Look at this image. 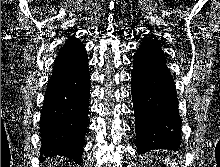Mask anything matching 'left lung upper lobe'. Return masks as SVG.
Masks as SVG:
<instances>
[{"label":"left lung upper lobe","instance_id":"1","mask_svg":"<svg viewBox=\"0 0 220 167\" xmlns=\"http://www.w3.org/2000/svg\"><path fill=\"white\" fill-rule=\"evenodd\" d=\"M140 48L160 50V44L158 42L157 36L146 35L145 39L141 43Z\"/></svg>","mask_w":220,"mask_h":167}]
</instances>
